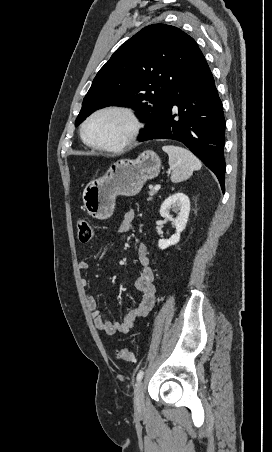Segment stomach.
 Here are the masks:
<instances>
[{
  "label": "stomach",
  "mask_w": 272,
  "mask_h": 452,
  "mask_svg": "<svg viewBox=\"0 0 272 452\" xmlns=\"http://www.w3.org/2000/svg\"><path fill=\"white\" fill-rule=\"evenodd\" d=\"M159 156L146 150L136 159H120L100 178L90 181L83 190V205L92 217L100 220L113 215L116 197L138 194L147 180L158 176Z\"/></svg>",
  "instance_id": "stomach-1"
}]
</instances>
